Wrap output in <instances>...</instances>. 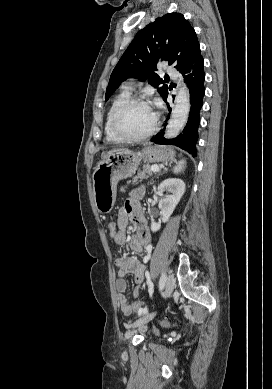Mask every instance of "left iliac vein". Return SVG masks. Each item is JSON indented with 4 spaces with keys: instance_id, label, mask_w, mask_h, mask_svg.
<instances>
[{
    "instance_id": "obj_1",
    "label": "left iliac vein",
    "mask_w": 272,
    "mask_h": 389,
    "mask_svg": "<svg viewBox=\"0 0 272 389\" xmlns=\"http://www.w3.org/2000/svg\"><path fill=\"white\" fill-rule=\"evenodd\" d=\"M174 285H175V278L172 274H169L166 278L165 282V289H164V297L167 298L169 297L173 290H174ZM154 317V314L146 315L139 320L135 321L132 324V328H138V327H143L146 323H148L152 318Z\"/></svg>"
}]
</instances>
